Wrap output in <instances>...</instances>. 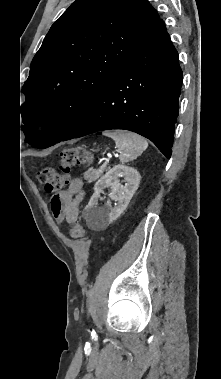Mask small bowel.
Returning <instances> with one entry per match:
<instances>
[{"instance_id":"obj_1","label":"small bowel","mask_w":221,"mask_h":379,"mask_svg":"<svg viewBox=\"0 0 221 379\" xmlns=\"http://www.w3.org/2000/svg\"><path fill=\"white\" fill-rule=\"evenodd\" d=\"M83 182L79 178H74L68 184L67 189L50 190L51 209L54 217L59 221L66 220L74 223L79 215V204L83 198Z\"/></svg>"}]
</instances>
